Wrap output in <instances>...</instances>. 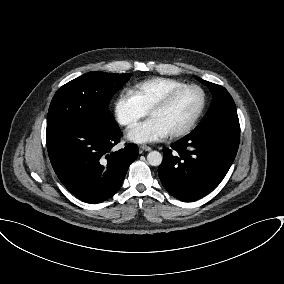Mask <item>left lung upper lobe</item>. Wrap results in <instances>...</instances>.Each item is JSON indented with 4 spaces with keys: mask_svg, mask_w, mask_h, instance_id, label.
Wrapping results in <instances>:
<instances>
[{
    "mask_svg": "<svg viewBox=\"0 0 284 284\" xmlns=\"http://www.w3.org/2000/svg\"><path fill=\"white\" fill-rule=\"evenodd\" d=\"M206 85L213 94L209 111L196 129H202L219 123H239L235 103L228 91L220 85L205 81L194 76Z\"/></svg>",
    "mask_w": 284,
    "mask_h": 284,
    "instance_id": "5c2ea615",
    "label": "left lung upper lobe"
}]
</instances>
